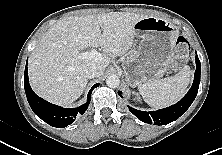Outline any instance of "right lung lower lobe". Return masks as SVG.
I'll list each match as a JSON object with an SVG mask.
<instances>
[{"label": "right lung lower lobe", "instance_id": "98d812e1", "mask_svg": "<svg viewBox=\"0 0 222 155\" xmlns=\"http://www.w3.org/2000/svg\"><path fill=\"white\" fill-rule=\"evenodd\" d=\"M24 75H25V83H24L25 93L33 112L43 121L57 128L66 127L75 121L77 115L79 114L83 115L90 103L91 93L93 89L99 86V84L97 83L90 89L87 95V102L85 104L77 108L66 109L45 101L44 99L40 98L33 92L28 80L27 64Z\"/></svg>", "mask_w": 222, "mask_h": 155}]
</instances>
